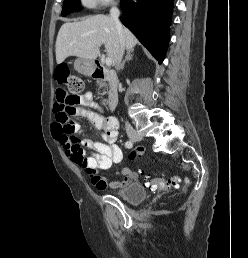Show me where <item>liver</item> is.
I'll return each instance as SVG.
<instances>
[{"label":"liver","instance_id":"obj_1","mask_svg":"<svg viewBox=\"0 0 248 258\" xmlns=\"http://www.w3.org/2000/svg\"><path fill=\"white\" fill-rule=\"evenodd\" d=\"M123 39L127 51H133L138 43L136 37L123 27ZM105 45L107 56L116 64L119 48V34L113 19L106 15H94L80 22L64 23L56 40L57 64L69 56L94 60L99 55V47Z\"/></svg>","mask_w":248,"mask_h":258}]
</instances>
